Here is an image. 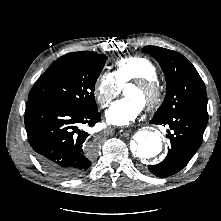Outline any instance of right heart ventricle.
<instances>
[{
	"instance_id": "e07e8e85",
	"label": "right heart ventricle",
	"mask_w": 221,
	"mask_h": 221,
	"mask_svg": "<svg viewBox=\"0 0 221 221\" xmlns=\"http://www.w3.org/2000/svg\"><path fill=\"white\" fill-rule=\"evenodd\" d=\"M112 74L121 86L137 78H157V70L153 62L139 55L118 60L113 67Z\"/></svg>"
}]
</instances>
